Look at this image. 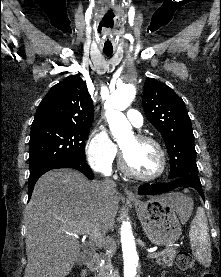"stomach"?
I'll list each match as a JSON object with an SVG mask.
<instances>
[{
	"instance_id": "0dacf381",
	"label": "stomach",
	"mask_w": 221,
	"mask_h": 277,
	"mask_svg": "<svg viewBox=\"0 0 221 277\" xmlns=\"http://www.w3.org/2000/svg\"><path fill=\"white\" fill-rule=\"evenodd\" d=\"M137 216L146 236L153 244H173L181 236V226L192 211V202L183 197L178 205H173L163 196L152 197L143 202L133 200Z\"/></svg>"
}]
</instances>
